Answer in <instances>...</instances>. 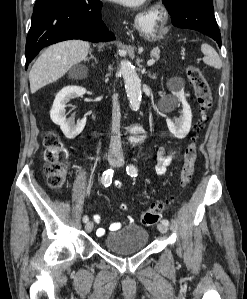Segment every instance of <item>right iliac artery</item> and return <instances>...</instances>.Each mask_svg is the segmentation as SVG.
<instances>
[{"mask_svg":"<svg viewBox=\"0 0 247 299\" xmlns=\"http://www.w3.org/2000/svg\"><path fill=\"white\" fill-rule=\"evenodd\" d=\"M112 177H113V169H108L105 171L102 175V183L105 187H108L112 183ZM89 220L88 216L83 217V222L86 223Z\"/></svg>","mask_w":247,"mask_h":299,"instance_id":"obj_1","label":"right iliac artery"}]
</instances>
